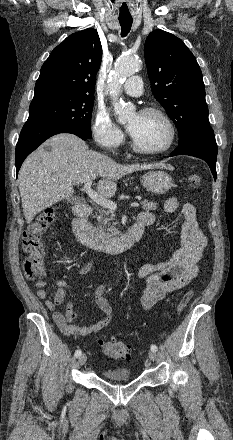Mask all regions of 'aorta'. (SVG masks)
I'll list each match as a JSON object with an SVG mask.
<instances>
[{
    "label": "aorta",
    "mask_w": 233,
    "mask_h": 440,
    "mask_svg": "<svg viewBox=\"0 0 233 440\" xmlns=\"http://www.w3.org/2000/svg\"><path fill=\"white\" fill-rule=\"evenodd\" d=\"M139 68V61L131 55H122L116 62L110 79L108 81V91L112 98L115 115L119 123H125L135 115V106L128 105L119 100L122 82L133 75Z\"/></svg>",
    "instance_id": "aorta-1"
}]
</instances>
